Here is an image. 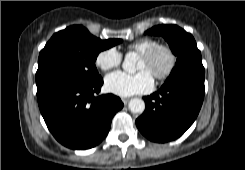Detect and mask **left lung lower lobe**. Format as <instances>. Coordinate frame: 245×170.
<instances>
[{
    "mask_svg": "<svg viewBox=\"0 0 245 170\" xmlns=\"http://www.w3.org/2000/svg\"><path fill=\"white\" fill-rule=\"evenodd\" d=\"M204 79L178 78L144 97V113L136 120L149 140L164 143L180 137L195 121L203 103Z\"/></svg>",
    "mask_w": 245,
    "mask_h": 170,
    "instance_id": "1",
    "label": "left lung lower lobe"
}]
</instances>
